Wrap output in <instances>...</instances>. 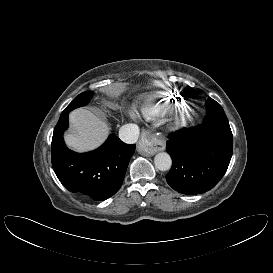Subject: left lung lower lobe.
<instances>
[{
  "label": "left lung lower lobe",
  "mask_w": 273,
  "mask_h": 273,
  "mask_svg": "<svg viewBox=\"0 0 273 273\" xmlns=\"http://www.w3.org/2000/svg\"><path fill=\"white\" fill-rule=\"evenodd\" d=\"M168 139L166 150L173 165L166 181L177 192H206L225 174L233 148L227 117L205 118L201 125L172 133Z\"/></svg>",
  "instance_id": "1"
}]
</instances>
